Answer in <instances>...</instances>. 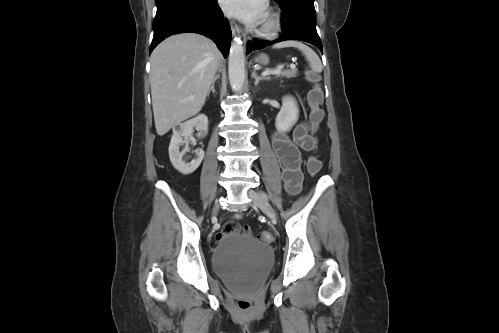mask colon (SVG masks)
Here are the masks:
<instances>
[{
    "label": "colon",
    "instance_id": "obj_1",
    "mask_svg": "<svg viewBox=\"0 0 499 333\" xmlns=\"http://www.w3.org/2000/svg\"><path fill=\"white\" fill-rule=\"evenodd\" d=\"M307 79L313 84V87L309 90L307 96L308 103L311 107L309 120L313 130L317 131L324 117L321 109V105L323 103V91L319 84V76L316 73L308 71ZM306 168L310 174L315 175L321 170L322 163L316 156L312 155L306 161ZM239 233L251 234V229L248 225L228 222L224 226L223 230L217 234L216 239L217 241H220L228 234ZM259 238L267 243H270L273 240L272 235L268 231H262ZM238 307L241 310H248L251 307V302L247 299H240L238 301Z\"/></svg>",
    "mask_w": 499,
    "mask_h": 333
}]
</instances>
